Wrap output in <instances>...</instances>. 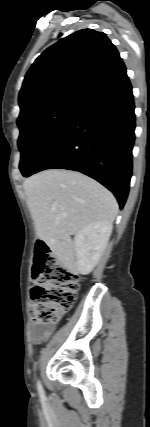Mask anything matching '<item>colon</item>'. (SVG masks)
I'll list each match as a JSON object with an SVG mask.
<instances>
[{"label":"colon","mask_w":150,"mask_h":427,"mask_svg":"<svg viewBox=\"0 0 150 427\" xmlns=\"http://www.w3.org/2000/svg\"><path fill=\"white\" fill-rule=\"evenodd\" d=\"M31 319L36 325H56L72 306L79 289V277L61 263L42 241L35 245Z\"/></svg>","instance_id":"1"}]
</instances>
